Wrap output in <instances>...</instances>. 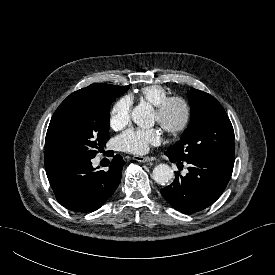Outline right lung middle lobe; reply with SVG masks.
<instances>
[{
    "mask_svg": "<svg viewBox=\"0 0 275 275\" xmlns=\"http://www.w3.org/2000/svg\"><path fill=\"white\" fill-rule=\"evenodd\" d=\"M128 88L129 86H122L106 94L62 102L52 116L47 130L45 158H94L109 140L110 105Z\"/></svg>",
    "mask_w": 275,
    "mask_h": 275,
    "instance_id": "1",
    "label": "right lung middle lobe"
}]
</instances>
